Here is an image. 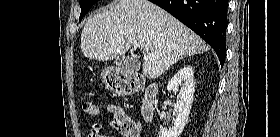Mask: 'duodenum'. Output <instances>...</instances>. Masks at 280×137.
<instances>
[{
    "instance_id": "410a0bca",
    "label": "duodenum",
    "mask_w": 280,
    "mask_h": 137,
    "mask_svg": "<svg viewBox=\"0 0 280 137\" xmlns=\"http://www.w3.org/2000/svg\"><path fill=\"white\" fill-rule=\"evenodd\" d=\"M143 90V95L140 102V113L145 121H152L155 116V100L157 98L159 87L152 84L146 87L139 86L138 82L134 83V91Z\"/></svg>"
}]
</instances>
